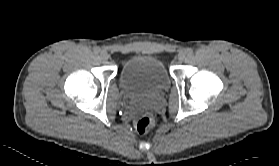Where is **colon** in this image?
I'll use <instances>...</instances> for the list:
<instances>
[{"label": "colon", "mask_w": 279, "mask_h": 166, "mask_svg": "<svg viewBox=\"0 0 279 166\" xmlns=\"http://www.w3.org/2000/svg\"><path fill=\"white\" fill-rule=\"evenodd\" d=\"M155 124L154 116L151 112H146L138 116L135 120L136 129L140 133L148 132Z\"/></svg>", "instance_id": "5ec220e1"}]
</instances>
